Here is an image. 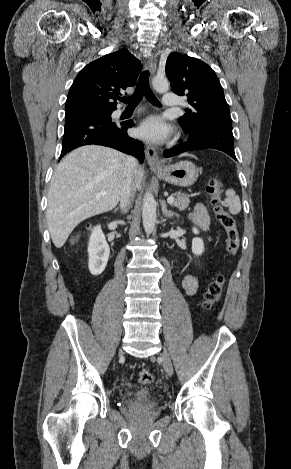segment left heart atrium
I'll return each instance as SVG.
<instances>
[{
  "instance_id": "39dd6f15",
  "label": "left heart atrium",
  "mask_w": 291,
  "mask_h": 469,
  "mask_svg": "<svg viewBox=\"0 0 291 469\" xmlns=\"http://www.w3.org/2000/svg\"><path fill=\"white\" fill-rule=\"evenodd\" d=\"M171 128L159 117L146 118L138 129V135L147 141L159 143L168 138Z\"/></svg>"
}]
</instances>
